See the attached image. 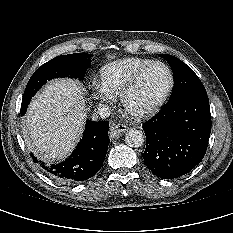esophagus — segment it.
I'll list each match as a JSON object with an SVG mask.
<instances>
[{
  "instance_id": "esophagus-1",
  "label": "esophagus",
  "mask_w": 233,
  "mask_h": 233,
  "mask_svg": "<svg viewBox=\"0 0 233 233\" xmlns=\"http://www.w3.org/2000/svg\"><path fill=\"white\" fill-rule=\"evenodd\" d=\"M127 129L128 126L125 124H114L111 128V134L117 136L120 133L126 132Z\"/></svg>"
}]
</instances>
